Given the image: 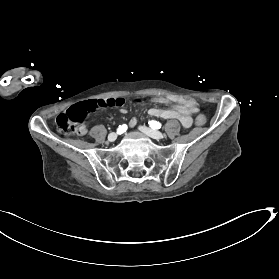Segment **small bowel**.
<instances>
[{"label":"small bowel","mask_w":279,"mask_h":279,"mask_svg":"<svg viewBox=\"0 0 279 279\" xmlns=\"http://www.w3.org/2000/svg\"><path fill=\"white\" fill-rule=\"evenodd\" d=\"M151 102L156 104H168L174 102L176 105L169 108L153 107L149 109V115L164 119H178L185 128H189L192 125V112L189 111L176 97H154L151 99ZM120 111L123 114L127 113L125 108H121ZM136 124L137 119L132 117L129 120V127L134 128ZM86 133V127L82 126L80 134L85 135Z\"/></svg>","instance_id":"small-bowel-1"}]
</instances>
